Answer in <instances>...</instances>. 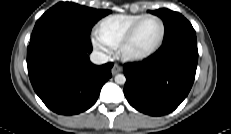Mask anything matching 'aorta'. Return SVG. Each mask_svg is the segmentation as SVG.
Returning a JSON list of instances; mask_svg holds the SVG:
<instances>
[{
	"mask_svg": "<svg viewBox=\"0 0 231 134\" xmlns=\"http://www.w3.org/2000/svg\"><path fill=\"white\" fill-rule=\"evenodd\" d=\"M115 82L117 84H124L126 82V77L123 74H117L115 76Z\"/></svg>",
	"mask_w": 231,
	"mask_h": 134,
	"instance_id": "762f6f07",
	"label": "aorta"
}]
</instances>
